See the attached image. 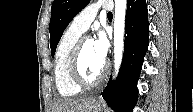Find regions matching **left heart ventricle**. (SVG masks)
Listing matches in <instances>:
<instances>
[{
	"label": "left heart ventricle",
	"mask_w": 193,
	"mask_h": 112,
	"mask_svg": "<svg viewBox=\"0 0 193 112\" xmlns=\"http://www.w3.org/2000/svg\"><path fill=\"white\" fill-rule=\"evenodd\" d=\"M104 68V62L98 57L92 40H87L81 54V70L88 80L96 79Z\"/></svg>",
	"instance_id": "obj_1"
}]
</instances>
